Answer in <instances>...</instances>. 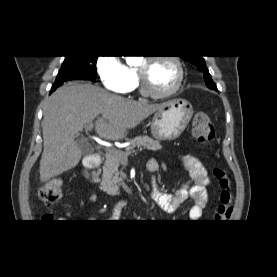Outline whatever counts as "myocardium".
Wrapping results in <instances>:
<instances>
[{"mask_svg": "<svg viewBox=\"0 0 277 277\" xmlns=\"http://www.w3.org/2000/svg\"><path fill=\"white\" fill-rule=\"evenodd\" d=\"M157 60H167V61H170L175 66L177 71V77L174 85L165 92H153L152 90L149 89L147 85L144 70L141 68H138L137 74H138L139 88L142 95L146 97H150L152 99H165V98L171 97L180 89L184 80L185 71H184L182 62L180 61V58L173 55L151 56V57H147L145 62L149 63Z\"/></svg>", "mask_w": 277, "mask_h": 277, "instance_id": "obj_1", "label": "myocardium"}]
</instances>
